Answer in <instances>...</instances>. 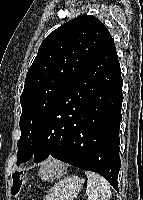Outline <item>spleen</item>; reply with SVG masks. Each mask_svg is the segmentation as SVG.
Listing matches in <instances>:
<instances>
[{
    "label": "spleen",
    "instance_id": "1",
    "mask_svg": "<svg viewBox=\"0 0 143 200\" xmlns=\"http://www.w3.org/2000/svg\"><path fill=\"white\" fill-rule=\"evenodd\" d=\"M85 175L87 177L86 193L91 200H109L111 190L107 180L91 171H86Z\"/></svg>",
    "mask_w": 143,
    "mask_h": 200
}]
</instances>
